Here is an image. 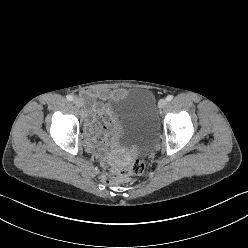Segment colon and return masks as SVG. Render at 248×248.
Returning a JSON list of instances; mask_svg holds the SVG:
<instances>
[{"mask_svg":"<svg viewBox=\"0 0 248 248\" xmlns=\"http://www.w3.org/2000/svg\"><path fill=\"white\" fill-rule=\"evenodd\" d=\"M145 170V162L136 160L129 168L123 170H107L101 175L103 182L106 184L117 181H130L134 177L141 176Z\"/></svg>","mask_w":248,"mask_h":248,"instance_id":"colon-1","label":"colon"}]
</instances>
